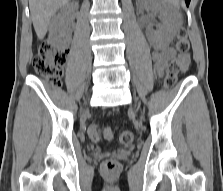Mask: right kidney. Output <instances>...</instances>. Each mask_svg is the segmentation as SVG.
Segmentation results:
<instances>
[{"label": "right kidney", "mask_w": 223, "mask_h": 191, "mask_svg": "<svg viewBox=\"0 0 223 191\" xmlns=\"http://www.w3.org/2000/svg\"><path fill=\"white\" fill-rule=\"evenodd\" d=\"M76 8V4L65 5L61 11L54 16L50 25V42L59 49L64 50L69 45L72 34L69 28V13Z\"/></svg>", "instance_id": "ca27d5eb"}]
</instances>
